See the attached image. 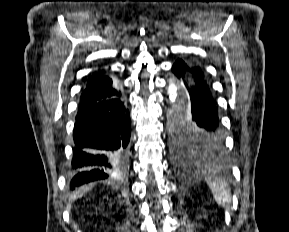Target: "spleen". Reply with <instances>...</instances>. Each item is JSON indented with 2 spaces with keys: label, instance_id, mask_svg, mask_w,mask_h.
I'll return each mask as SVG.
<instances>
[{
  "label": "spleen",
  "instance_id": "obj_1",
  "mask_svg": "<svg viewBox=\"0 0 289 232\" xmlns=\"http://www.w3.org/2000/svg\"><path fill=\"white\" fill-rule=\"evenodd\" d=\"M208 185L219 205L225 207L231 203V193L227 182L222 179H216L215 181H208Z\"/></svg>",
  "mask_w": 289,
  "mask_h": 232
}]
</instances>
